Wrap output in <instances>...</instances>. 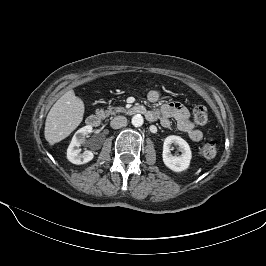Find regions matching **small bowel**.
Here are the masks:
<instances>
[{
	"mask_svg": "<svg viewBox=\"0 0 266 266\" xmlns=\"http://www.w3.org/2000/svg\"><path fill=\"white\" fill-rule=\"evenodd\" d=\"M147 98L150 102L157 103L161 98V93L157 90H151ZM146 117L150 121L159 120L164 128L170 126V119L173 118L177 121L178 129L186 133L192 141L199 142L203 138L202 131L195 128L188 109L181 103L169 102L159 108L148 110Z\"/></svg>",
	"mask_w": 266,
	"mask_h": 266,
	"instance_id": "small-bowel-1",
	"label": "small bowel"
}]
</instances>
